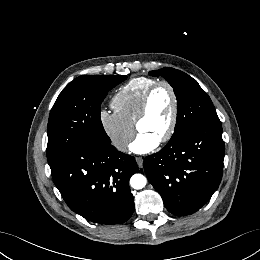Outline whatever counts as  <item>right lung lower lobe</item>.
<instances>
[{
  "mask_svg": "<svg viewBox=\"0 0 260 260\" xmlns=\"http://www.w3.org/2000/svg\"><path fill=\"white\" fill-rule=\"evenodd\" d=\"M53 181L70 209L99 224H120L134 211L129 179L135 158L116 150L83 146L50 165Z\"/></svg>",
  "mask_w": 260,
  "mask_h": 260,
  "instance_id": "98d812e1",
  "label": "right lung lower lobe"
}]
</instances>
